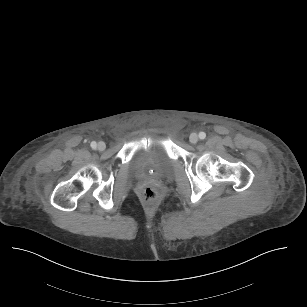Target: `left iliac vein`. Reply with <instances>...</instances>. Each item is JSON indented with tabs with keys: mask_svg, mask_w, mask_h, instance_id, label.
Here are the masks:
<instances>
[{
	"mask_svg": "<svg viewBox=\"0 0 307 307\" xmlns=\"http://www.w3.org/2000/svg\"><path fill=\"white\" fill-rule=\"evenodd\" d=\"M189 140L192 144H196L198 142V135L196 133H192Z\"/></svg>",
	"mask_w": 307,
	"mask_h": 307,
	"instance_id": "4c4485c4",
	"label": "left iliac vein"
}]
</instances>
